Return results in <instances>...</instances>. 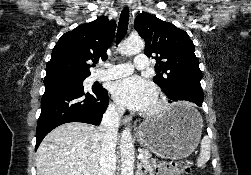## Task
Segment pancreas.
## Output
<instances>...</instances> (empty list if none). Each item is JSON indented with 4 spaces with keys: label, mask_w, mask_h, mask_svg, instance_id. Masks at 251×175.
Segmentation results:
<instances>
[{
    "label": "pancreas",
    "mask_w": 251,
    "mask_h": 175,
    "mask_svg": "<svg viewBox=\"0 0 251 175\" xmlns=\"http://www.w3.org/2000/svg\"><path fill=\"white\" fill-rule=\"evenodd\" d=\"M140 153H143V157H141L142 167H144L145 173L148 175H155V167L157 165V159H153L152 153L147 151V149H141Z\"/></svg>",
    "instance_id": "cf45deb5"
}]
</instances>
